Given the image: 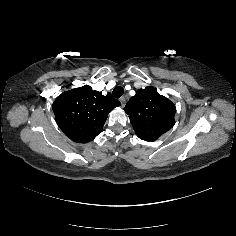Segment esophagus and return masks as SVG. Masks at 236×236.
<instances>
[{
	"instance_id": "obj_1",
	"label": "esophagus",
	"mask_w": 236,
	"mask_h": 236,
	"mask_svg": "<svg viewBox=\"0 0 236 236\" xmlns=\"http://www.w3.org/2000/svg\"><path fill=\"white\" fill-rule=\"evenodd\" d=\"M119 101L121 102V106L124 107L125 106V103H126V99L124 96H122Z\"/></svg>"
}]
</instances>
